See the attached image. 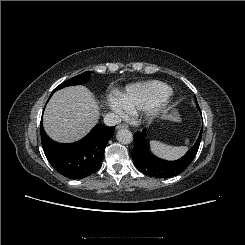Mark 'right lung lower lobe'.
<instances>
[{
    "label": "right lung lower lobe",
    "mask_w": 245,
    "mask_h": 245,
    "mask_svg": "<svg viewBox=\"0 0 245 245\" xmlns=\"http://www.w3.org/2000/svg\"><path fill=\"white\" fill-rule=\"evenodd\" d=\"M40 132L44 153L52 167L65 177L81 179L101 167L104 150L114 134V127H94L83 139L70 144L50 139L42 121Z\"/></svg>",
    "instance_id": "obj_1"
}]
</instances>
